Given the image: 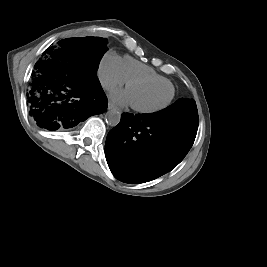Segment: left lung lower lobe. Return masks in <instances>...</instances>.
<instances>
[{
    "label": "left lung lower lobe",
    "mask_w": 267,
    "mask_h": 267,
    "mask_svg": "<svg viewBox=\"0 0 267 267\" xmlns=\"http://www.w3.org/2000/svg\"><path fill=\"white\" fill-rule=\"evenodd\" d=\"M197 129L198 118L187 115L123 113L106 139L108 166L122 182L151 181L182 161Z\"/></svg>",
    "instance_id": "1"
}]
</instances>
